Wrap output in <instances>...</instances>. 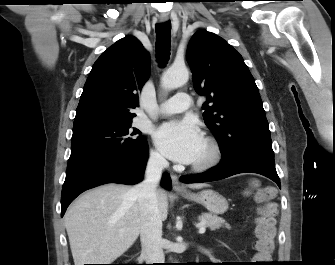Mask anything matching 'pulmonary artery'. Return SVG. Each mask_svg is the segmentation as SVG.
<instances>
[{
	"label": "pulmonary artery",
	"mask_w": 335,
	"mask_h": 265,
	"mask_svg": "<svg viewBox=\"0 0 335 265\" xmlns=\"http://www.w3.org/2000/svg\"><path fill=\"white\" fill-rule=\"evenodd\" d=\"M192 100L189 94L181 92L164 102L158 112L160 114H174L183 112L191 107Z\"/></svg>",
	"instance_id": "obj_1"
}]
</instances>
